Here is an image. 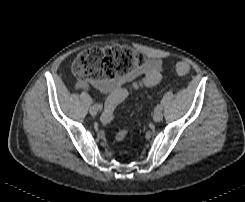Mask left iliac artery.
I'll return each instance as SVG.
<instances>
[{
    "mask_svg": "<svg viewBox=\"0 0 245 202\" xmlns=\"http://www.w3.org/2000/svg\"><path fill=\"white\" fill-rule=\"evenodd\" d=\"M155 110H156V111H161V110H162V106L158 104V105L155 107Z\"/></svg>",
    "mask_w": 245,
    "mask_h": 202,
    "instance_id": "left-iliac-artery-1",
    "label": "left iliac artery"
}]
</instances>
